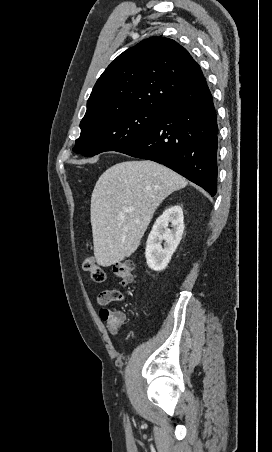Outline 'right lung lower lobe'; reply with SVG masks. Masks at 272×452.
<instances>
[{
	"label": "right lung lower lobe",
	"instance_id": "right-lung-lower-lobe-1",
	"mask_svg": "<svg viewBox=\"0 0 272 452\" xmlns=\"http://www.w3.org/2000/svg\"><path fill=\"white\" fill-rule=\"evenodd\" d=\"M217 149V114L205 84L163 110L142 136L117 152L163 164L214 196Z\"/></svg>",
	"mask_w": 272,
	"mask_h": 452
}]
</instances>
